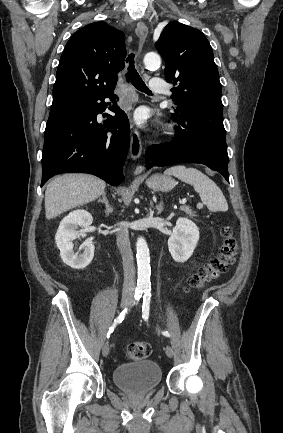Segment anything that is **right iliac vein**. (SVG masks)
<instances>
[{
  "mask_svg": "<svg viewBox=\"0 0 283 433\" xmlns=\"http://www.w3.org/2000/svg\"><path fill=\"white\" fill-rule=\"evenodd\" d=\"M131 302H132V299L129 298V296H124L121 299V308L125 309L127 306H129L131 304ZM108 353H109V342L106 341L103 345V348H102V354L104 357H106L108 355Z\"/></svg>",
  "mask_w": 283,
  "mask_h": 433,
  "instance_id": "obj_1",
  "label": "right iliac vein"
}]
</instances>
